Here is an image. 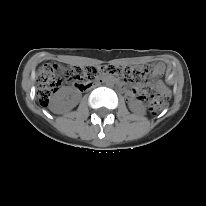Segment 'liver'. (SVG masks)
<instances>
[{
  "label": "liver",
  "instance_id": "obj_1",
  "mask_svg": "<svg viewBox=\"0 0 206 206\" xmlns=\"http://www.w3.org/2000/svg\"><path fill=\"white\" fill-rule=\"evenodd\" d=\"M51 110H52V108H51ZM54 113H60V112H56V111H54V110H52Z\"/></svg>",
  "mask_w": 206,
  "mask_h": 206
}]
</instances>
